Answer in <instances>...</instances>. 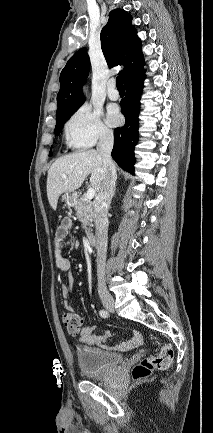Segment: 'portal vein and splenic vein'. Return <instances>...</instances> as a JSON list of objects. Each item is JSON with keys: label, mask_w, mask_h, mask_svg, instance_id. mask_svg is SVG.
Returning a JSON list of instances; mask_svg holds the SVG:
<instances>
[{"label": "portal vein and splenic vein", "mask_w": 213, "mask_h": 433, "mask_svg": "<svg viewBox=\"0 0 213 433\" xmlns=\"http://www.w3.org/2000/svg\"><path fill=\"white\" fill-rule=\"evenodd\" d=\"M63 178H66V175H62ZM96 195V191L93 188H89L87 190V193L85 195L87 200H91L94 198V196Z\"/></svg>", "instance_id": "18ae733b"}]
</instances>
